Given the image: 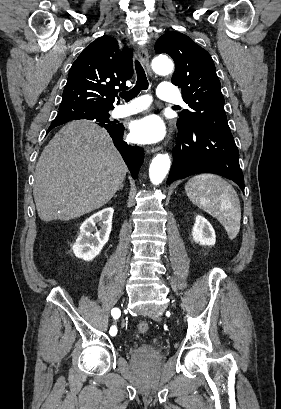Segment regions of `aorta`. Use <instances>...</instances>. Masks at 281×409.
Listing matches in <instances>:
<instances>
[{
  "label": "aorta",
  "mask_w": 281,
  "mask_h": 409,
  "mask_svg": "<svg viewBox=\"0 0 281 409\" xmlns=\"http://www.w3.org/2000/svg\"><path fill=\"white\" fill-rule=\"evenodd\" d=\"M152 69L159 75H169L173 71V62L166 56H159L153 59ZM170 157L168 154H158L153 158L150 168L149 177L153 184H160L170 169Z\"/></svg>",
  "instance_id": "1"
}]
</instances>
